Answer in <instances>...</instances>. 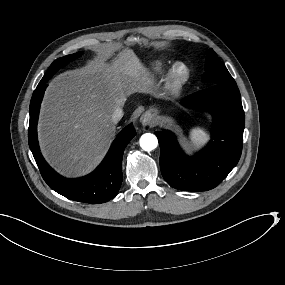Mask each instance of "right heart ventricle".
<instances>
[{
	"label": "right heart ventricle",
	"mask_w": 285,
	"mask_h": 285,
	"mask_svg": "<svg viewBox=\"0 0 285 285\" xmlns=\"http://www.w3.org/2000/svg\"><path fill=\"white\" fill-rule=\"evenodd\" d=\"M169 73V68L162 60H154L147 66L142 67L139 76L141 80L150 81L153 79H165Z\"/></svg>",
	"instance_id": "right-heart-ventricle-1"
}]
</instances>
